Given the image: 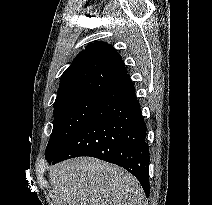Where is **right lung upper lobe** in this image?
I'll return each instance as SVG.
<instances>
[{"label":"right lung upper lobe","instance_id":"right-lung-upper-lobe-1","mask_svg":"<svg viewBox=\"0 0 212 205\" xmlns=\"http://www.w3.org/2000/svg\"><path fill=\"white\" fill-rule=\"evenodd\" d=\"M126 74L124 62L115 49L105 42H94L62 74L54 107L78 97L102 94Z\"/></svg>","mask_w":212,"mask_h":205}]
</instances>
